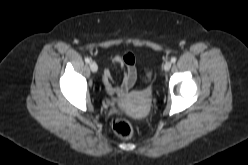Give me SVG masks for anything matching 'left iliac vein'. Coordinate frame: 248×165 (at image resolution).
Instances as JSON below:
<instances>
[{"label": "left iliac vein", "instance_id": "1", "mask_svg": "<svg viewBox=\"0 0 248 165\" xmlns=\"http://www.w3.org/2000/svg\"><path fill=\"white\" fill-rule=\"evenodd\" d=\"M171 65H172L171 62H169V61L166 62V63L164 64V70H165V71H169L170 68H171Z\"/></svg>", "mask_w": 248, "mask_h": 165}]
</instances>
